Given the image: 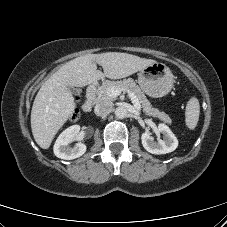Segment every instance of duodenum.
<instances>
[{
    "instance_id": "410a0bca",
    "label": "duodenum",
    "mask_w": 227,
    "mask_h": 227,
    "mask_svg": "<svg viewBox=\"0 0 227 227\" xmlns=\"http://www.w3.org/2000/svg\"><path fill=\"white\" fill-rule=\"evenodd\" d=\"M98 82H94L90 84L86 91V98L83 104L84 111L88 112L93 107L96 101V89H97Z\"/></svg>"
}]
</instances>
